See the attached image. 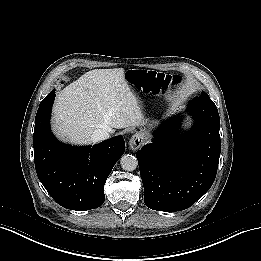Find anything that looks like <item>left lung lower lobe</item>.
<instances>
[{"label": "left lung lower lobe", "mask_w": 261, "mask_h": 261, "mask_svg": "<svg viewBox=\"0 0 261 261\" xmlns=\"http://www.w3.org/2000/svg\"><path fill=\"white\" fill-rule=\"evenodd\" d=\"M196 126L178 136L179 119L156 132L154 142L137 151L145 204L157 211H181L192 206L212 186L221 141L220 119L212 101L195 98L189 106Z\"/></svg>", "instance_id": "1"}]
</instances>
